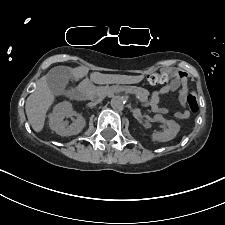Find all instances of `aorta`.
Returning a JSON list of instances; mask_svg holds the SVG:
<instances>
[{
    "label": "aorta",
    "instance_id": "1",
    "mask_svg": "<svg viewBox=\"0 0 225 225\" xmlns=\"http://www.w3.org/2000/svg\"><path fill=\"white\" fill-rule=\"evenodd\" d=\"M110 104L114 110L122 111L125 106V99L122 96L116 95L111 99Z\"/></svg>",
    "mask_w": 225,
    "mask_h": 225
}]
</instances>
